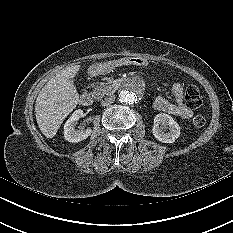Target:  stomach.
<instances>
[{"label":"stomach","instance_id":"0dacf381","mask_svg":"<svg viewBox=\"0 0 233 233\" xmlns=\"http://www.w3.org/2000/svg\"><path fill=\"white\" fill-rule=\"evenodd\" d=\"M148 64V60L142 57H134V56H130L124 59H114V60H108L105 61L103 64H97L92 66L89 69V72L91 75H101V74H105V73H111V72H117V71H122V70H130V69H134L137 68L138 66H145Z\"/></svg>","mask_w":233,"mask_h":233}]
</instances>
